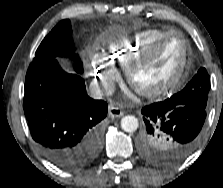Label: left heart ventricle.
<instances>
[{
	"mask_svg": "<svg viewBox=\"0 0 223 188\" xmlns=\"http://www.w3.org/2000/svg\"><path fill=\"white\" fill-rule=\"evenodd\" d=\"M183 51L180 37L173 36L167 39L156 58L137 73L138 84L153 87L169 79L180 65Z\"/></svg>",
	"mask_w": 223,
	"mask_h": 188,
	"instance_id": "b2bd125f",
	"label": "left heart ventricle"
}]
</instances>
